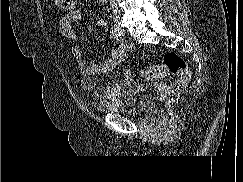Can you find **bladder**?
<instances>
[{
  "mask_svg": "<svg viewBox=\"0 0 243 182\" xmlns=\"http://www.w3.org/2000/svg\"><path fill=\"white\" fill-rule=\"evenodd\" d=\"M146 104L143 94L131 93L125 98L93 103L96 111L104 114L133 115L141 112Z\"/></svg>",
  "mask_w": 243,
  "mask_h": 182,
  "instance_id": "31cf9c89",
  "label": "bladder"
}]
</instances>
